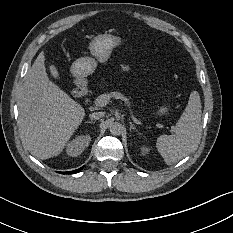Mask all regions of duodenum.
<instances>
[{
	"mask_svg": "<svg viewBox=\"0 0 233 233\" xmlns=\"http://www.w3.org/2000/svg\"><path fill=\"white\" fill-rule=\"evenodd\" d=\"M88 92V83L84 78H78L76 80V85L72 90V95L76 98L83 97Z\"/></svg>",
	"mask_w": 233,
	"mask_h": 233,
	"instance_id": "duodenum-1",
	"label": "duodenum"
}]
</instances>
